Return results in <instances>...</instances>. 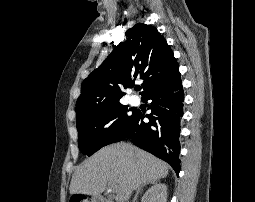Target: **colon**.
<instances>
[{
    "label": "colon",
    "instance_id": "obj_1",
    "mask_svg": "<svg viewBox=\"0 0 255 202\" xmlns=\"http://www.w3.org/2000/svg\"><path fill=\"white\" fill-rule=\"evenodd\" d=\"M71 202H84V200L83 199H75V200H73Z\"/></svg>",
    "mask_w": 255,
    "mask_h": 202
}]
</instances>
